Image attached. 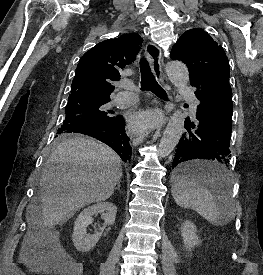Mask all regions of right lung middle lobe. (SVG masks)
<instances>
[{"label": "right lung middle lobe", "instance_id": "dd1d6c3e", "mask_svg": "<svg viewBox=\"0 0 263 275\" xmlns=\"http://www.w3.org/2000/svg\"><path fill=\"white\" fill-rule=\"evenodd\" d=\"M109 102V98L91 94L70 96L65 107L66 117L63 125L57 131L55 141L63 142L68 139L67 134L73 127L108 121L112 113V110L107 109Z\"/></svg>", "mask_w": 263, "mask_h": 275}]
</instances>
